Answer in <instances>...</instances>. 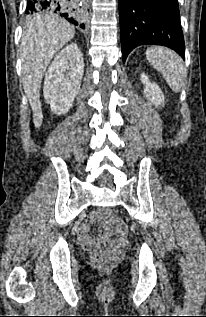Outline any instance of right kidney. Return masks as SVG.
Wrapping results in <instances>:
<instances>
[{
    "label": "right kidney",
    "mask_w": 206,
    "mask_h": 317,
    "mask_svg": "<svg viewBox=\"0 0 206 317\" xmlns=\"http://www.w3.org/2000/svg\"><path fill=\"white\" fill-rule=\"evenodd\" d=\"M84 61L76 43L60 51L48 68L44 81V98L57 115L66 114L78 94Z\"/></svg>",
    "instance_id": "ca27d5eb"
}]
</instances>
